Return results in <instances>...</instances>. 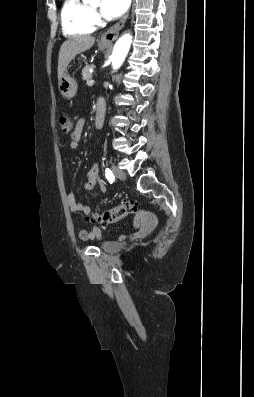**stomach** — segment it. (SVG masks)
Returning a JSON list of instances; mask_svg holds the SVG:
<instances>
[{"label":"stomach","instance_id":"0dacf381","mask_svg":"<svg viewBox=\"0 0 254 397\" xmlns=\"http://www.w3.org/2000/svg\"><path fill=\"white\" fill-rule=\"evenodd\" d=\"M101 48H107L110 43H99ZM78 84L76 80L70 76L67 70L64 71L63 75L58 81V89L62 96L71 99L76 95Z\"/></svg>","mask_w":254,"mask_h":397}]
</instances>
